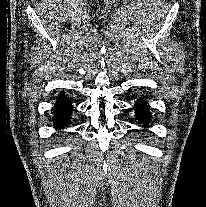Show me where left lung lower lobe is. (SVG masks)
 <instances>
[{
	"mask_svg": "<svg viewBox=\"0 0 206 207\" xmlns=\"http://www.w3.org/2000/svg\"><path fill=\"white\" fill-rule=\"evenodd\" d=\"M148 107L146 106V102L139 98L135 104V111L137 114V118L140 122L147 121L149 120V112H148Z\"/></svg>",
	"mask_w": 206,
	"mask_h": 207,
	"instance_id": "left-lung-lower-lobe-1",
	"label": "left lung lower lobe"
}]
</instances>
